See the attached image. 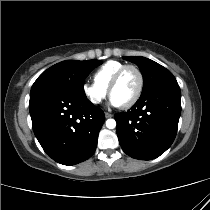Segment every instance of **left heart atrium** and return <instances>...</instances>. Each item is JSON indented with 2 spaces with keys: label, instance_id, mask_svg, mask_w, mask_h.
Instances as JSON below:
<instances>
[{
  "label": "left heart atrium",
  "instance_id": "left-heart-atrium-1",
  "mask_svg": "<svg viewBox=\"0 0 210 210\" xmlns=\"http://www.w3.org/2000/svg\"><path fill=\"white\" fill-rule=\"evenodd\" d=\"M110 104L115 107L120 106V104L113 97L110 98Z\"/></svg>",
  "mask_w": 210,
  "mask_h": 210
}]
</instances>
